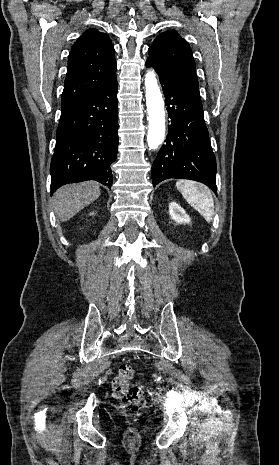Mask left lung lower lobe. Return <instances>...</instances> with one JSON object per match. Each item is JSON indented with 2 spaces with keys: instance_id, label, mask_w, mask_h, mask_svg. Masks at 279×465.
<instances>
[{
  "instance_id": "left-lung-lower-lobe-1",
  "label": "left lung lower lobe",
  "mask_w": 279,
  "mask_h": 465,
  "mask_svg": "<svg viewBox=\"0 0 279 465\" xmlns=\"http://www.w3.org/2000/svg\"><path fill=\"white\" fill-rule=\"evenodd\" d=\"M146 66L158 73L171 119L166 143L152 165L153 185L168 178L191 179L217 193L216 159L204 123L199 88L151 61L147 60Z\"/></svg>"
}]
</instances>
